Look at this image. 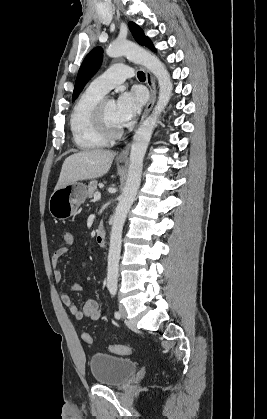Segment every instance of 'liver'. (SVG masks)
<instances>
[{"instance_id":"6515ba94","label":"liver","mask_w":267,"mask_h":419,"mask_svg":"<svg viewBox=\"0 0 267 419\" xmlns=\"http://www.w3.org/2000/svg\"><path fill=\"white\" fill-rule=\"evenodd\" d=\"M116 153L109 150L94 149L74 153L67 157L62 165L56 189L78 181L98 178L105 175Z\"/></svg>"}]
</instances>
